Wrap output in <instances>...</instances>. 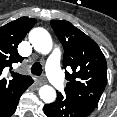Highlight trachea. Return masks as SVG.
Instances as JSON below:
<instances>
[{
  "label": "trachea",
  "mask_w": 117,
  "mask_h": 117,
  "mask_svg": "<svg viewBox=\"0 0 117 117\" xmlns=\"http://www.w3.org/2000/svg\"><path fill=\"white\" fill-rule=\"evenodd\" d=\"M31 73L40 76L42 74V65L39 62H35L31 67Z\"/></svg>",
  "instance_id": "trachea-1"
}]
</instances>
